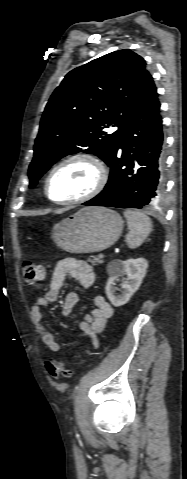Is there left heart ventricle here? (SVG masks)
Returning <instances> with one entry per match:
<instances>
[{"label": "left heart ventricle", "instance_id": "left-heart-ventricle-1", "mask_svg": "<svg viewBox=\"0 0 187 479\" xmlns=\"http://www.w3.org/2000/svg\"><path fill=\"white\" fill-rule=\"evenodd\" d=\"M95 177V170L90 163L70 162L53 175L49 183V194L58 201L77 198L92 188Z\"/></svg>", "mask_w": 187, "mask_h": 479}]
</instances>
